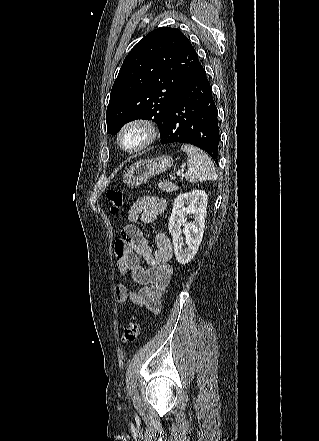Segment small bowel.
Here are the masks:
<instances>
[{
  "label": "small bowel",
  "instance_id": "c3829d8e",
  "mask_svg": "<svg viewBox=\"0 0 319 441\" xmlns=\"http://www.w3.org/2000/svg\"><path fill=\"white\" fill-rule=\"evenodd\" d=\"M166 209L164 198L142 196L134 202L129 213V222L121 231V238L115 244L117 267L123 277H130L139 287L129 290L123 283L115 288L119 302L130 301L137 309L159 313L160 298L168 287L173 274L169 261L172 245L168 236L160 232L155 236L156 247L152 248L142 230L137 226L140 220L149 225L156 222L158 215ZM141 259L146 267L141 265Z\"/></svg>",
  "mask_w": 319,
  "mask_h": 441
}]
</instances>
